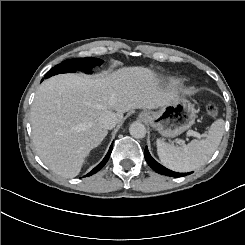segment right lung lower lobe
Instances as JSON below:
<instances>
[{
	"label": "right lung lower lobe",
	"mask_w": 245,
	"mask_h": 245,
	"mask_svg": "<svg viewBox=\"0 0 245 245\" xmlns=\"http://www.w3.org/2000/svg\"><path fill=\"white\" fill-rule=\"evenodd\" d=\"M112 147L113 145L110 146L107 155L105 156V158L101 161L100 164H98L92 171H90L86 176H91L92 174H95L96 172H98L108 161L111 151H112Z\"/></svg>",
	"instance_id": "obj_1"
}]
</instances>
